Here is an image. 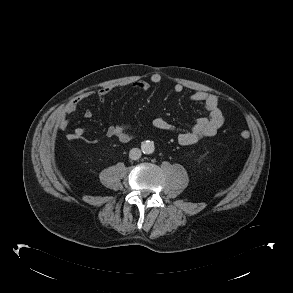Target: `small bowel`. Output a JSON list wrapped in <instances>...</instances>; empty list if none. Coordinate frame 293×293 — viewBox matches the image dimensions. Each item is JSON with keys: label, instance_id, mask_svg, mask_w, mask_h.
<instances>
[{"label": "small bowel", "instance_id": "obj_1", "mask_svg": "<svg viewBox=\"0 0 293 293\" xmlns=\"http://www.w3.org/2000/svg\"><path fill=\"white\" fill-rule=\"evenodd\" d=\"M161 76L157 73L151 75L150 82L146 80H138L132 84V88L147 92L151 84H159ZM112 87H102L96 92H83L76 95L63 107L58 109L51 119V125L55 128L65 130L69 126V115L76 111L78 105L85 99L95 96L99 101H104V98L112 91ZM176 93H182L184 87L180 83H176L173 87ZM193 102L203 103L207 111V116L200 117L195 120L192 128L188 131L178 133L177 139L180 145H193L200 140L214 136L222 127L225 121L224 113L219 105L218 97L214 94L205 91H196L189 96ZM93 116L90 109L85 110L84 117L89 119ZM153 126L162 131L176 132L175 126L170 124L162 117L153 120ZM84 128L77 127L72 132L66 135L70 141L79 140L84 135ZM107 135L118 139L122 143H127L132 140L133 134L131 129L126 124L110 125L107 129Z\"/></svg>", "mask_w": 293, "mask_h": 293}]
</instances>
